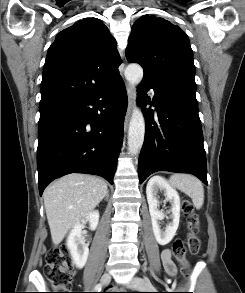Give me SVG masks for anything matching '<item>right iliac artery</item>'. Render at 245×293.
<instances>
[{
  "label": "right iliac artery",
  "mask_w": 245,
  "mask_h": 293,
  "mask_svg": "<svg viewBox=\"0 0 245 293\" xmlns=\"http://www.w3.org/2000/svg\"><path fill=\"white\" fill-rule=\"evenodd\" d=\"M101 288H102V285L97 284L94 289H95L96 292H100Z\"/></svg>",
  "instance_id": "right-iliac-artery-1"
}]
</instances>
